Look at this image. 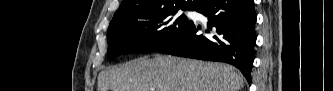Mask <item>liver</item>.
<instances>
[{
	"instance_id": "liver-1",
	"label": "liver",
	"mask_w": 333,
	"mask_h": 91,
	"mask_svg": "<svg viewBox=\"0 0 333 91\" xmlns=\"http://www.w3.org/2000/svg\"><path fill=\"white\" fill-rule=\"evenodd\" d=\"M243 86V76L228 64L157 54L100 72L97 91H239Z\"/></svg>"
}]
</instances>
